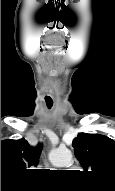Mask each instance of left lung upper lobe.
<instances>
[{
	"mask_svg": "<svg viewBox=\"0 0 115 191\" xmlns=\"http://www.w3.org/2000/svg\"><path fill=\"white\" fill-rule=\"evenodd\" d=\"M72 145L83 173L115 191V141L100 134L79 133Z\"/></svg>",
	"mask_w": 115,
	"mask_h": 191,
	"instance_id": "obj_1",
	"label": "left lung upper lobe"
}]
</instances>
